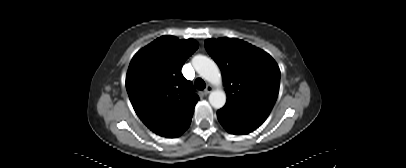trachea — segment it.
<instances>
[{"mask_svg":"<svg viewBox=\"0 0 406 168\" xmlns=\"http://www.w3.org/2000/svg\"><path fill=\"white\" fill-rule=\"evenodd\" d=\"M195 87L199 90H203L206 87V84L201 78H197L195 80Z\"/></svg>","mask_w":406,"mask_h":168,"instance_id":"1","label":"trachea"}]
</instances>
